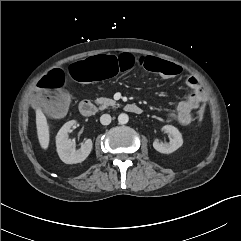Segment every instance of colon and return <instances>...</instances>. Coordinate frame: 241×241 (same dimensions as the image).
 I'll return each instance as SVG.
<instances>
[{
  "label": "colon",
  "instance_id": "obj_1",
  "mask_svg": "<svg viewBox=\"0 0 241 241\" xmlns=\"http://www.w3.org/2000/svg\"><path fill=\"white\" fill-rule=\"evenodd\" d=\"M142 64L146 68L153 70L159 76L167 79L180 78L183 70L171 61H162L157 58L146 57L137 59L135 54L129 51L121 53L110 51L88 57L71 64L68 75L71 81L77 84L93 83L104 80L111 74H129L135 71L137 65ZM65 76L62 70L56 69L44 76L38 83L35 103L47 112L60 116L62 110L68 103V97L61 93L45 94L50 91H57L64 85ZM205 110L199 111L198 119L201 121Z\"/></svg>",
  "mask_w": 241,
  "mask_h": 241
}]
</instances>
